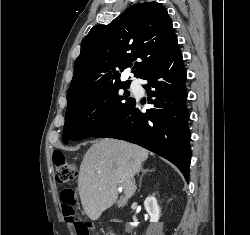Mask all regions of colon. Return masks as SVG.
Instances as JSON below:
<instances>
[{"label": "colon", "instance_id": "colon-1", "mask_svg": "<svg viewBox=\"0 0 250 235\" xmlns=\"http://www.w3.org/2000/svg\"><path fill=\"white\" fill-rule=\"evenodd\" d=\"M53 163L58 183H68L77 177L78 169L76 164L68 160L62 153L53 155ZM60 200L65 219L75 225L78 235H89V227L76 217V193L70 189L62 190Z\"/></svg>", "mask_w": 250, "mask_h": 235}]
</instances>
